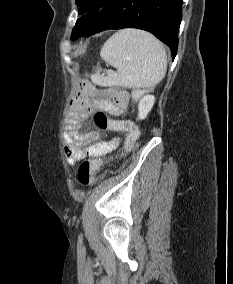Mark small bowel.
<instances>
[{"label":"small bowel","mask_w":233,"mask_h":284,"mask_svg":"<svg viewBox=\"0 0 233 284\" xmlns=\"http://www.w3.org/2000/svg\"><path fill=\"white\" fill-rule=\"evenodd\" d=\"M129 94L120 89L101 90L89 83H79L69 103V122L64 147L67 163L74 166L85 157L98 159L114 151L119 145L118 138L98 141L99 133L83 134V121L97 110L119 116L127 108ZM126 124H133L122 121ZM119 131V130H117Z\"/></svg>","instance_id":"1"}]
</instances>
